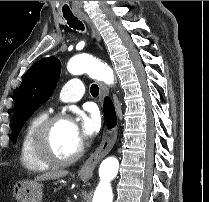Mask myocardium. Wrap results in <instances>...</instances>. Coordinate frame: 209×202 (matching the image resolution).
<instances>
[{"instance_id":"1","label":"myocardium","mask_w":209,"mask_h":202,"mask_svg":"<svg viewBox=\"0 0 209 202\" xmlns=\"http://www.w3.org/2000/svg\"><path fill=\"white\" fill-rule=\"evenodd\" d=\"M64 121H70V117L66 114L49 116L41 122L34 133L32 140L33 153L47 166H68L75 163L83 154L84 147L82 144L73 155L67 158H59L51 152L49 148V136L55 126Z\"/></svg>"}]
</instances>
